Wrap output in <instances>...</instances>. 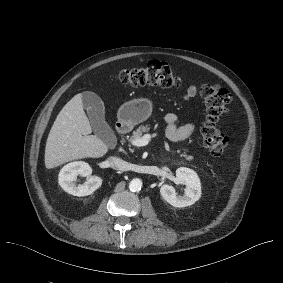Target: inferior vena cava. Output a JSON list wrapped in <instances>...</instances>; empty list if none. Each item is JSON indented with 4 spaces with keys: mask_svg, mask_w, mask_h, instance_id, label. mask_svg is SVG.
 I'll return each instance as SVG.
<instances>
[{
    "mask_svg": "<svg viewBox=\"0 0 283 283\" xmlns=\"http://www.w3.org/2000/svg\"><path fill=\"white\" fill-rule=\"evenodd\" d=\"M109 163L110 167L114 169H122L124 164V162L120 158L114 156H111L109 158Z\"/></svg>",
    "mask_w": 283,
    "mask_h": 283,
    "instance_id": "inferior-vena-cava-1",
    "label": "inferior vena cava"
}]
</instances>
